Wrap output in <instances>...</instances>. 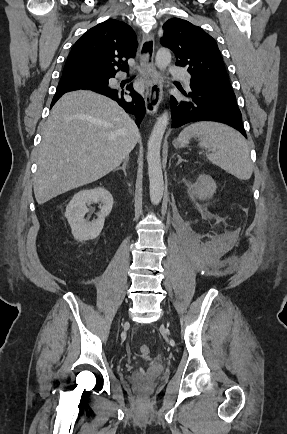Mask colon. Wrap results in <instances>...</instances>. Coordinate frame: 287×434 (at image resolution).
<instances>
[{"instance_id": "5ec220e1", "label": "colon", "mask_w": 287, "mask_h": 434, "mask_svg": "<svg viewBox=\"0 0 287 434\" xmlns=\"http://www.w3.org/2000/svg\"><path fill=\"white\" fill-rule=\"evenodd\" d=\"M139 352L142 357H148L150 354V348L148 345L142 344L139 346Z\"/></svg>"}]
</instances>
